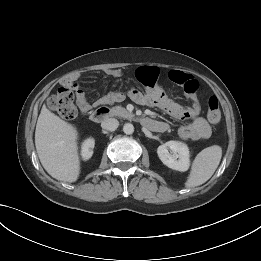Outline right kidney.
I'll use <instances>...</instances> for the list:
<instances>
[{"label":"right kidney","instance_id":"ca27d5eb","mask_svg":"<svg viewBox=\"0 0 261 261\" xmlns=\"http://www.w3.org/2000/svg\"><path fill=\"white\" fill-rule=\"evenodd\" d=\"M94 145H95V141L92 138H89L82 143L81 156L83 160H88L91 158V156L93 155Z\"/></svg>","mask_w":261,"mask_h":261}]
</instances>
